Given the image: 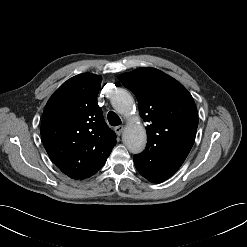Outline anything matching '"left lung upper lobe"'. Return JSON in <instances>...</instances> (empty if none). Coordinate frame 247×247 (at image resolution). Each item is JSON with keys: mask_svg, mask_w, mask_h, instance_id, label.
<instances>
[{"mask_svg": "<svg viewBox=\"0 0 247 247\" xmlns=\"http://www.w3.org/2000/svg\"><path fill=\"white\" fill-rule=\"evenodd\" d=\"M120 82L137 97L145 122L147 146L141 153H189L198 126L195 102L174 78L154 68H139L119 76Z\"/></svg>", "mask_w": 247, "mask_h": 247, "instance_id": "obj_1", "label": "left lung upper lobe"}]
</instances>
